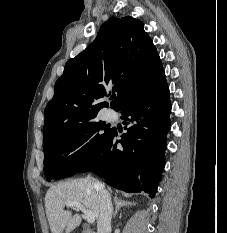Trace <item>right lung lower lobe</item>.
Returning a JSON list of instances; mask_svg holds the SVG:
<instances>
[{"label": "right lung lower lobe", "instance_id": "98d812e1", "mask_svg": "<svg viewBox=\"0 0 227 233\" xmlns=\"http://www.w3.org/2000/svg\"><path fill=\"white\" fill-rule=\"evenodd\" d=\"M170 112L165 79L120 110L127 133L119 135L112 129L97 156L80 172H94L112 187L153 197L165 166ZM118 143L122 148H117Z\"/></svg>", "mask_w": 227, "mask_h": 233}]
</instances>
